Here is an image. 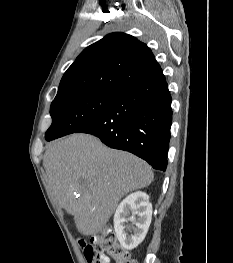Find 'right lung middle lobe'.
I'll list each match as a JSON object with an SVG mask.
<instances>
[{
  "label": "right lung middle lobe",
  "instance_id": "obj_1",
  "mask_svg": "<svg viewBox=\"0 0 233 263\" xmlns=\"http://www.w3.org/2000/svg\"><path fill=\"white\" fill-rule=\"evenodd\" d=\"M116 95L115 92L90 90L56 96L50 109L52 125L45 138L49 141L76 132L101 115Z\"/></svg>",
  "mask_w": 233,
  "mask_h": 263
}]
</instances>
